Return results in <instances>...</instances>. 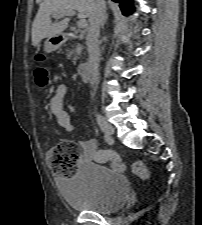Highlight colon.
I'll return each mask as SVG.
<instances>
[{
    "label": "colon",
    "mask_w": 202,
    "mask_h": 225,
    "mask_svg": "<svg viewBox=\"0 0 202 225\" xmlns=\"http://www.w3.org/2000/svg\"><path fill=\"white\" fill-rule=\"evenodd\" d=\"M48 71L44 67L37 68L35 72L36 83L38 86H43L46 83ZM47 163L55 174L62 178H68L75 173L80 150L78 145L72 141H64L61 144L50 147L46 153ZM105 160L110 161L113 169L122 171L125 168L123 160L113 152L105 154ZM132 171L141 179H147L149 169L143 160H136L132 164Z\"/></svg>",
    "instance_id": "5ec220e1"
}]
</instances>
